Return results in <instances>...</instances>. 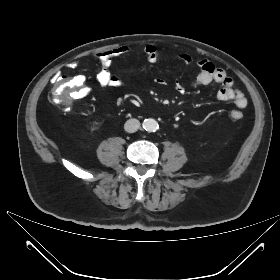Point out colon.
I'll list each match as a JSON object with an SVG mask.
<instances>
[{
  "mask_svg": "<svg viewBox=\"0 0 280 280\" xmlns=\"http://www.w3.org/2000/svg\"><path fill=\"white\" fill-rule=\"evenodd\" d=\"M88 93L89 88L84 84L83 78L63 75L55 80L50 94V101L58 104L63 112L70 113L74 110L78 97L84 98ZM241 117L242 115L239 113L234 115L235 119H240Z\"/></svg>",
  "mask_w": 280,
  "mask_h": 280,
  "instance_id": "obj_1",
  "label": "colon"
}]
</instances>
